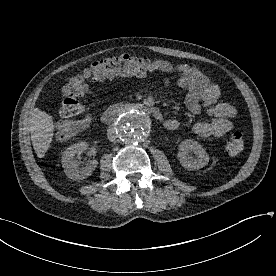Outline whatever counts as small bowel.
Returning <instances> with one entry per match:
<instances>
[{
  "mask_svg": "<svg viewBox=\"0 0 276 276\" xmlns=\"http://www.w3.org/2000/svg\"><path fill=\"white\" fill-rule=\"evenodd\" d=\"M152 72L177 74V85L185 90L183 101L192 113L205 112L212 117L211 121L197 122L193 131L200 137H221L233 128L232 119L237 109L228 103L219 102L220 89L198 68L187 64H174L167 60L152 61ZM166 86L170 79L164 80ZM164 126L168 130H176L180 123L176 119H166Z\"/></svg>",
  "mask_w": 276,
  "mask_h": 276,
  "instance_id": "obj_1",
  "label": "small bowel"
}]
</instances>
